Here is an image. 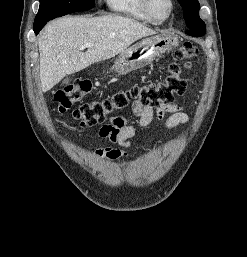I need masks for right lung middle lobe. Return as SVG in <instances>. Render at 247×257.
<instances>
[{"label":"right lung middle lobe","mask_w":247,"mask_h":257,"mask_svg":"<svg viewBox=\"0 0 247 257\" xmlns=\"http://www.w3.org/2000/svg\"><path fill=\"white\" fill-rule=\"evenodd\" d=\"M95 0H40L34 24L94 7Z\"/></svg>","instance_id":"obj_1"}]
</instances>
